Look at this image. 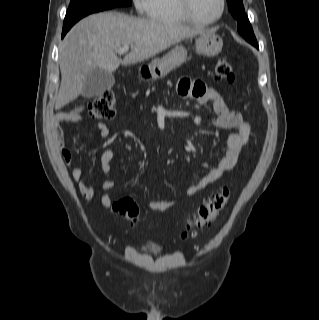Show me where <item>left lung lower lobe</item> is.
Instances as JSON below:
<instances>
[{"mask_svg":"<svg viewBox=\"0 0 319 320\" xmlns=\"http://www.w3.org/2000/svg\"><path fill=\"white\" fill-rule=\"evenodd\" d=\"M255 47H258V45L256 44V45H254Z\"/></svg>","mask_w":319,"mask_h":320,"instance_id":"1","label":"left lung lower lobe"}]
</instances>
